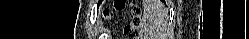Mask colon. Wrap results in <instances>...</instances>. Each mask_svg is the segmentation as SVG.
Returning <instances> with one entry per match:
<instances>
[{"label":"colon","instance_id":"5ec220e1","mask_svg":"<svg viewBox=\"0 0 249 39\" xmlns=\"http://www.w3.org/2000/svg\"><path fill=\"white\" fill-rule=\"evenodd\" d=\"M125 1L119 0L116 5V9L122 10L124 8ZM134 12H138V10H134ZM109 12H105V16H109ZM124 34L127 39H138L139 37V24L137 21H132L129 25H127L124 29Z\"/></svg>","mask_w":249,"mask_h":39}]
</instances>
